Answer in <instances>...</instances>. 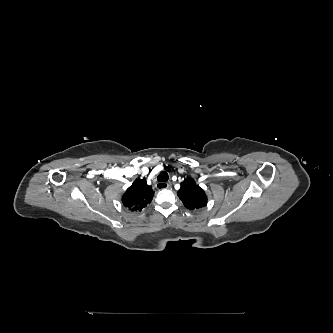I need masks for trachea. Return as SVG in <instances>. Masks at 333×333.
<instances>
[{
	"label": "trachea",
	"instance_id": "trachea-1",
	"mask_svg": "<svg viewBox=\"0 0 333 333\" xmlns=\"http://www.w3.org/2000/svg\"><path fill=\"white\" fill-rule=\"evenodd\" d=\"M158 181H161V182H167L168 181V174L167 172L165 171H162L158 177H157Z\"/></svg>",
	"mask_w": 333,
	"mask_h": 333
}]
</instances>
